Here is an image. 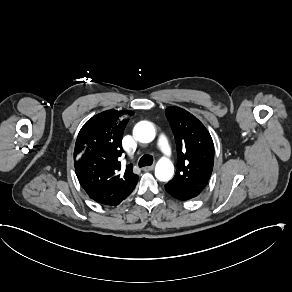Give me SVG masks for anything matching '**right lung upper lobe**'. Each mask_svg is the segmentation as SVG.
<instances>
[{"label":"right lung upper lobe","instance_id":"cb5924a9","mask_svg":"<svg viewBox=\"0 0 292 292\" xmlns=\"http://www.w3.org/2000/svg\"><path fill=\"white\" fill-rule=\"evenodd\" d=\"M129 111L109 110L89 119L81 128L74 149L77 178L94 201L117 205L137 184L132 165L121 170V140Z\"/></svg>","mask_w":292,"mask_h":292}]
</instances>
